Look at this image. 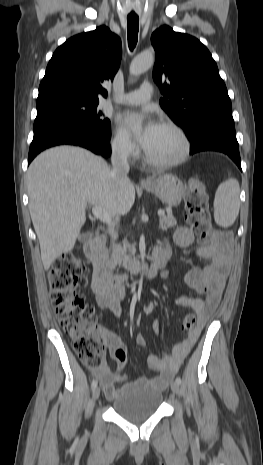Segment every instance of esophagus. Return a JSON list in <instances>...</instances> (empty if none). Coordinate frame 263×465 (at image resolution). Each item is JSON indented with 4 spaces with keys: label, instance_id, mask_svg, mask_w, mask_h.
<instances>
[{
    "label": "esophagus",
    "instance_id": "34e87169",
    "mask_svg": "<svg viewBox=\"0 0 263 465\" xmlns=\"http://www.w3.org/2000/svg\"><path fill=\"white\" fill-rule=\"evenodd\" d=\"M148 183H149V181L146 180V179H141V180H140V184H141V185H146V184H148Z\"/></svg>",
    "mask_w": 263,
    "mask_h": 465
}]
</instances>
